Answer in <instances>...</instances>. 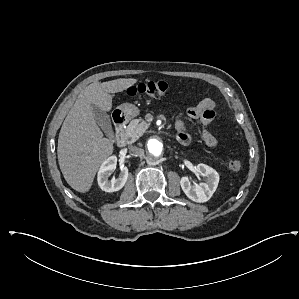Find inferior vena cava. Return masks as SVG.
Returning a JSON list of instances; mask_svg holds the SVG:
<instances>
[{"label": "inferior vena cava", "instance_id": "obj_1", "mask_svg": "<svg viewBox=\"0 0 299 299\" xmlns=\"http://www.w3.org/2000/svg\"><path fill=\"white\" fill-rule=\"evenodd\" d=\"M129 150L136 156H142L144 154V150L136 146H129Z\"/></svg>", "mask_w": 299, "mask_h": 299}]
</instances>
